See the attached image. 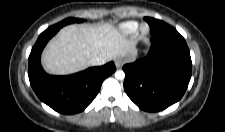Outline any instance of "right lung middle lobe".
<instances>
[{
  "label": "right lung middle lobe",
  "mask_w": 225,
  "mask_h": 132,
  "mask_svg": "<svg viewBox=\"0 0 225 132\" xmlns=\"http://www.w3.org/2000/svg\"><path fill=\"white\" fill-rule=\"evenodd\" d=\"M74 22H78L79 23V22H83V20L82 19H76V18H67V19L63 20L62 22H60V23H58L56 25H53V26L61 28V27L65 26V25H67V24L74 23Z\"/></svg>",
  "instance_id": "dd1d6c3e"
}]
</instances>
